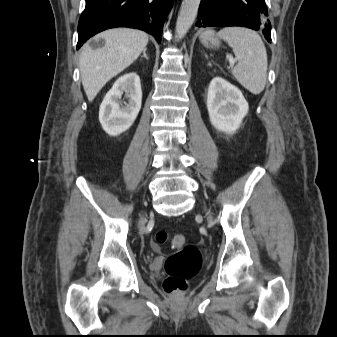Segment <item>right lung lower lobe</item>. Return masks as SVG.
<instances>
[{"mask_svg":"<svg viewBox=\"0 0 337 337\" xmlns=\"http://www.w3.org/2000/svg\"><path fill=\"white\" fill-rule=\"evenodd\" d=\"M173 0H86L78 24L79 49L91 36L114 27L138 28L161 42Z\"/></svg>","mask_w":337,"mask_h":337,"instance_id":"obj_1","label":"right lung lower lobe"}]
</instances>
